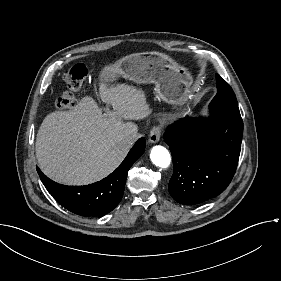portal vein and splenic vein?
I'll return each instance as SVG.
<instances>
[{
    "instance_id": "18ae733b",
    "label": "portal vein and splenic vein",
    "mask_w": 281,
    "mask_h": 281,
    "mask_svg": "<svg viewBox=\"0 0 281 281\" xmlns=\"http://www.w3.org/2000/svg\"><path fill=\"white\" fill-rule=\"evenodd\" d=\"M105 112H107V114H108V113L110 112V111H109V108H106V109H105ZM105 115H106V114H105Z\"/></svg>"
}]
</instances>
